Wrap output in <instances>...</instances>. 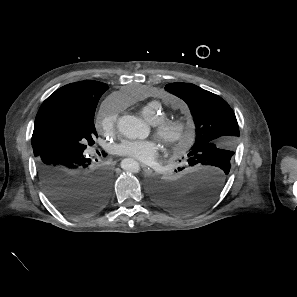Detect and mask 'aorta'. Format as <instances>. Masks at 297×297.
Wrapping results in <instances>:
<instances>
[{
    "instance_id": "obj_1",
    "label": "aorta",
    "mask_w": 297,
    "mask_h": 297,
    "mask_svg": "<svg viewBox=\"0 0 297 297\" xmlns=\"http://www.w3.org/2000/svg\"><path fill=\"white\" fill-rule=\"evenodd\" d=\"M117 127L119 132L129 139L145 138L148 134L147 126L139 118L131 115L120 117ZM121 168L131 173H138L140 170L139 163L132 158L122 160Z\"/></svg>"
}]
</instances>
